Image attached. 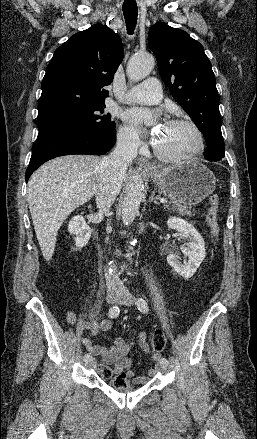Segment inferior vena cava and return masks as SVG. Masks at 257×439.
Returning <instances> with one entry per match:
<instances>
[{"instance_id": "inferior-vena-cava-1", "label": "inferior vena cava", "mask_w": 257, "mask_h": 439, "mask_svg": "<svg viewBox=\"0 0 257 439\" xmlns=\"http://www.w3.org/2000/svg\"><path fill=\"white\" fill-rule=\"evenodd\" d=\"M138 146L129 138L118 140L114 151L101 161V179L96 190L99 214L106 213L121 190L127 166L137 155ZM108 288H123V282L115 274H105Z\"/></svg>"}]
</instances>
